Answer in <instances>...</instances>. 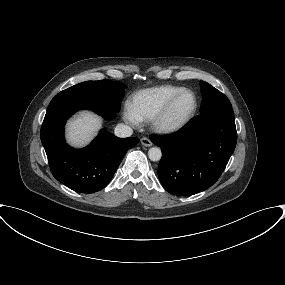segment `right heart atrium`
Masks as SVG:
<instances>
[{
    "mask_svg": "<svg viewBox=\"0 0 285 285\" xmlns=\"http://www.w3.org/2000/svg\"><path fill=\"white\" fill-rule=\"evenodd\" d=\"M122 116L126 122L132 125H136L139 122V119L137 118V116L134 114V112L131 110L129 106H126L123 109Z\"/></svg>",
    "mask_w": 285,
    "mask_h": 285,
    "instance_id": "1",
    "label": "right heart atrium"
}]
</instances>
